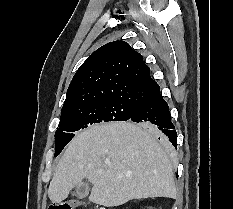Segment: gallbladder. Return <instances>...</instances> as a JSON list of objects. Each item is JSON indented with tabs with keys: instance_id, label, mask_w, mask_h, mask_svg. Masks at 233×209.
I'll list each match as a JSON object with an SVG mask.
<instances>
[{
	"instance_id": "gallbladder-1",
	"label": "gallbladder",
	"mask_w": 233,
	"mask_h": 209,
	"mask_svg": "<svg viewBox=\"0 0 233 209\" xmlns=\"http://www.w3.org/2000/svg\"><path fill=\"white\" fill-rule=\"evenodd\" d=\"M89 194V185L86 182L79 184L73 191V196L83 199Z\"/></svg>"
}]
</instances>
